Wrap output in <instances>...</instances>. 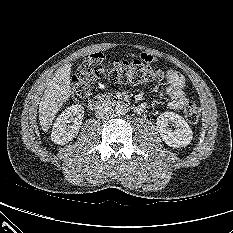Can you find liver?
Listing matches in <instances>:
<instances>
[{
  "label": "liver",
  "instance_id": "liver-1",
  "mask_svg": "<svg viewBox=\"0 0 233 233\" xmlns=\"http://www.w3.org/2000/svg\"><path fill=\"white\" fill-rule=\"evenodd\" d=\"M71 64L57 69L53 79L49 81L39 105V121L42 129L47 131L63 103L71 95Z\"/></svg>",
  "mask_w": 233,
  "mask_h": 233
}]
</instances>
